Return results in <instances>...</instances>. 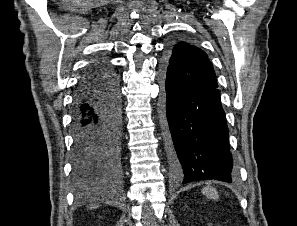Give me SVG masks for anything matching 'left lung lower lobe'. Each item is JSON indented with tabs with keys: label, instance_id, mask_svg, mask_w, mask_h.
<instances>
[{
	"label": "left lung lower lobe",
	"instance_id": "0a47b994",
	"mask_svg": "<svg viewBox=\"0 0 297 226\" xmlns=\"http://www.w3.org/2000/svg\"><path fill=\"white\" fill-rule=\"evenodd\" d=\"M161 80V115L175 181L231 182L235 167L218 86L192 89L164 61Z\"/></svg>",
	"mask_w": 297,
	"mask_h": 226
}]
</instances>
